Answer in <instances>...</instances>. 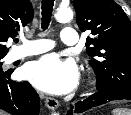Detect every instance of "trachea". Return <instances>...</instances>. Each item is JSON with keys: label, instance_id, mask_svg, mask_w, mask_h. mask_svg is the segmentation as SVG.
<instances>
[{"label": "trachea", "instance_id": "obj_1", "mask_svg": "<svg viewBox=\"0 0 131 115\" xmlns=\"http://www.w3.org/2000/svg\"><path fill=\"white\" fill-rule=\"evenodd\" d=\"M54 0H43L42 1V29L46 30L51 20L53 11ZM18 42V39H15Z\"/></svg>", "mask_w": 131, "mask_h": 115}]
</instances>
